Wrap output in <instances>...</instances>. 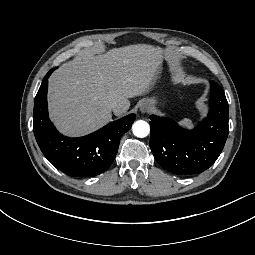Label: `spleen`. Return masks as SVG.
Segmentation results:
<instances>
[{"label":"spleen","mask_w":255,"mask_h":255,"mask_svg":"<svg viewBox=\"0 0 255 255\" xmlns=\"http://www.w3.org/2000/svg\"><path fill=\"white\" fill-rule=\"evenodd\" d=\"M184 122L187 124V123H189V122H187L186 120H184Z\"/></svg>","instance_id":"obj_1"}]
</instances>
